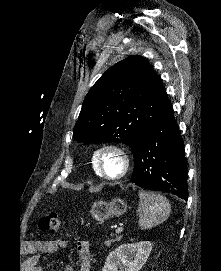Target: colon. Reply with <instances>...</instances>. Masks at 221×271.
Instances as JSON below:
<instances>
[{
	"mask_svg": "<svg viewBox=\"0 0 221 271\" xmlns=\"http://www.w3.org/2000/svg\"><path fill=\"white\" fill-rule=\"evenodd\" d=\"M40 229L51 234L59 231L61 226L60 216L56 212L46 214L42 217L39 223Z\"/></svg>",
	"mask_w": 221,
	"mask_h": 271,
	"instance_id": "1",
	"label": "colon"
}]
</instances>
